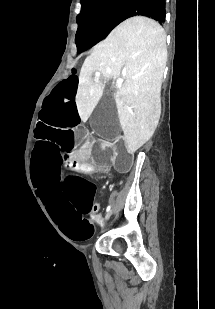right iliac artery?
Masks as SVG:
<instances>
[{"label":"right iliac artery","mask_w":215,"mask_h":309,"mask_svg":"<svg viewBox=\"0 0 215 309\" xmlns=\"http://www.w3.org/2000/svg\"><path fill=\"white\" fill-rule=\"evenodd\" d=\"M110 208H111V207H110V206H108V207H107V209H106V211H107V212H109V211H110Z\"/></svg>","instance_id":"right-iliac-artery-1"}]
</instances>
